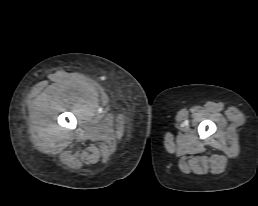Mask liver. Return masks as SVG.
Masks as SVG:
<instances>
[{"mask_svg": "<svg viewBox=\"0 0 258 206\" xmlns=\"http://www.w3.org/2000/svg\"><path fill=\"white\" fill-rule=\"evenodd\" d=\"M42 96H43V97L46 96V92L42 93Z\"/></svg>", "mask_w": 258, "mask_h": 206, "instance_id": "6515ba94", "label": "liver"}]
</instances>
